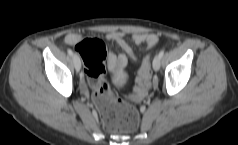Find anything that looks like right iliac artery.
I'll list each match as a JSON object with an SVG mask.
<instances>
[{
  "mask_svg": "<svg viewBox=\"0 0 238 145\" xmlns=\"http://www.w3.org/2000/svg\"><path fill=\"white\" fill-rule=\"evenodd\" d=\"M67 51H68V54H69L70 56H73V52H72L71 49H68Z\"/></svg>",
  "mask_w": 238,
  "mask_h": 145,
  "instance_id": "obj_1",
  "label": "right iliac artery"
}]
</instances>
